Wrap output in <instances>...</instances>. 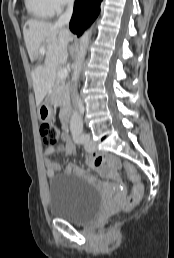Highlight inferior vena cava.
<instances>
[{"mask_svg":"<svg viewBox=\"0 0 174 258\" xmlns=\"http://www.w3.org/2000/svg\"><path fill=\"white\" fill-rule=\"evenodd\" d=\"M73 4L74 0H68V5L66 11L59 17L58 21L56 22V25L58 26H64L68 25L69 21L71 19L72 13H73ZM75 104L80 107L81 102L79 101L78 97L75 99Z\"/></svg>","mask_w":174,"mask_h":258,"instance_id":"1","label":"inferior vena cava"}]
</instances>
